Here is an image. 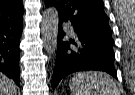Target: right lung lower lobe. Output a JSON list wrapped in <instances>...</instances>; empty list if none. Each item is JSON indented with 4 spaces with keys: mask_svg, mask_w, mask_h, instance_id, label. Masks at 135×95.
I'll use <instances>...</instances> for the list:
<instances>
[{
    "mask_svg": "<svg viewBox=\"0 0 135 95\" xmlns=\"http://www.w3.org/2000/svg\"><path fill=\"white\" fill-rule=\"evenodd\" d=\"M23 16L16 20L0 21V72L19 86V42Z\"/></svg>",
    "mask_w": 135,
    "mask_h": 95,
    "instance_id": "obj_1",
    "label": "right lung lower lobe"
}]
</instances>
